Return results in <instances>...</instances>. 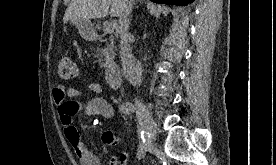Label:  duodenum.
<instances>
[{"label": "duodenum", "instance_id": "1", "mask_svg": "<svg viewBox=\"0 0 276 165\" xmlns=\"http://www.w3.org/2000/svg\"><path fill=\"white\" fill-rule=\"evenodd\" d=\"M123 70L117 62H112L106 69V79L109 86L113 89L121 85Z\"/></svg>", "mask_w": 276, "mask_h": 165}]
</instances>
